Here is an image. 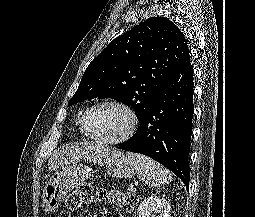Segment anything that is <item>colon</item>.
I'll list each match as a JSON object with an SVG mask.
<instances>
[{"mask_svg": "<svg viewBox=\"0 0 255 217\" xmlns=\"http://www.w3.org/2000/svg\"><path fill=\"white\" fill-rule=\"evenodd\" d=\"M95 200H108L111 204L125 212H132L137 203V197L134 193H124L116 189H95L91 185L86 184L68 195L66 200L67 209L63 210L59 217H72L73 211L79 210L85 204Z\"/></svg>", "mask_w": 255, "mask_h": 217, "instance_id": "colon-1", "label": "colon"}]
</instances>
